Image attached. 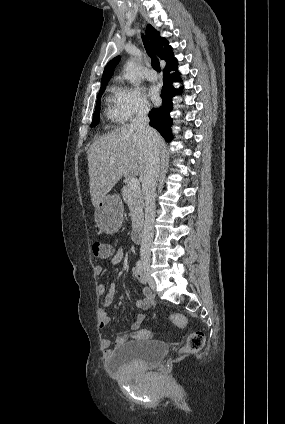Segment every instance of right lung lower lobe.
Returning <instances> with one entry per match:
<instances>
[{
    "instance_id": "98d812e1",
    "label": "right lung lower lobe",
    "mask_w": 285,
    "mask_h": 424,
    "mask_svg": "<svg viewBox=\"0 0 285 424\" xmlns=\"http://www.w3.org/2000/svg\"><path fill=\"white\" fill-rule=\"evenodd\" d=\"M177 62L166 65L163 70V82L161 97L162 106L153 109L149 113L150 125L157 129L166 141H171L173 136L171 133L172 118L170 112L172 110V98L176 94V89L172 86L174 80H179V73L170 74V71L177 70Z\"/></svg>"
}]
</instances>
